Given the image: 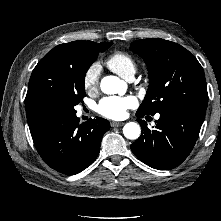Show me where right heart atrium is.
Returning <instances> with one entry per match:
<instances>
[{
  "mask_svg": "<svg viewBox=\"0 0 221 221\" xmlns=\"http://www.w3.org/2000/svg\"><path fill=\"white\" fill-rule=\"evenodd\" d=\"M101 67L98 63L91 64L85 71L82 79L83 88L92 93L98 89Z\"/></svg>",
  "mask_w": 221,
  "mask_h": 221,
  "instance_id": "obj_1",
  "label": "right heart atrium"
}]
</instances>
